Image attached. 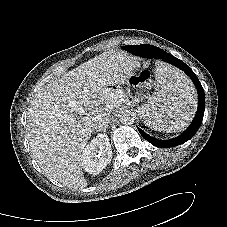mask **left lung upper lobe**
I'll use <instances>...</instances> for the list:
<instances>
[{
    "label": "left lung upper lobe",
    "instance_id": "5c2ea615",
    "mask_svg": "<svg viewBox=\"0 0 227 227\" xmlns=\"http://www.w3.org/2000/svg\"><path fill=\"white\" fill-rule=\"evenodd\" d=\"M133 45H129V46H124L123 49H127L128 47H131Z\"/></svg>",
    "mask_w": 227,
    "mask_h": 227
}]
</instances>
